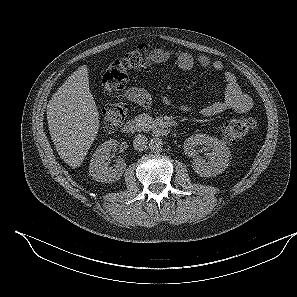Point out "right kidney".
<instances>
[{"instance_id": "obj_1", "label": "right kidney", "mask_w": 297, "mask_h": 297, "mask_svg": "<svg viewBox=\"0 0 297 297\" xmlns=\"http://www.w3.org/2000/svg\"><path fill=\"white\" fill-rule=\"evenodd\" d=\"M118 145V141L110 139L102 143L95 151L90 160L89 173L98 182H114L120 179L126 163L119 158L114 166L110 164V152Z\"/></svg>"}]
</instances>
